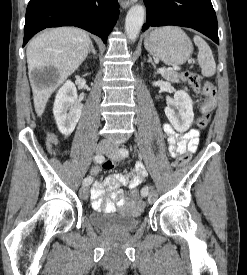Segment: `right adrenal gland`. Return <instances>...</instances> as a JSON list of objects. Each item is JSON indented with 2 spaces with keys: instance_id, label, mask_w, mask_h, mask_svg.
<instances>
[{
  "instance_id": "1",
  "label": "right adrenal gland",
  "mask_w": 247,
  "mask_h": 275,
  "mask_svg": "<svg viewBox=\"0 0 247 275\" xmlns=\"http://www.w3.org/2000/svg\"><path fill=\"white\" fill-rule=\"evenodd\" d=\"M92 53L93 55H96V51L94 49L93 43L90 44L89 54Z\"/></svg>"
}]
</instances>
